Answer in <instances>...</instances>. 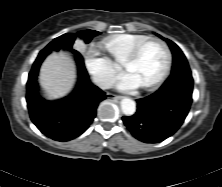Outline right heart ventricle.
Here are the masks:
<instances>
[{"mask_svg":"<svg viewBox=\"0 0 222 187\" xmlns=\"http://www.w3.org/2000/svg\"><path fill=\"white\" fill-rule=\"evenodd\" d=\"M146 39L148 37L144 35L117 34L105 38L102 43L112 59L116 63L122 64L132 50Z\"/></svg>","mask_w":222,"mask_h":187,"instance_id":"1","label":"right heart ventricle"}]
</instances>
